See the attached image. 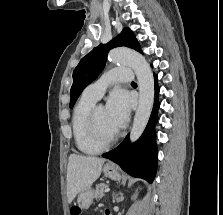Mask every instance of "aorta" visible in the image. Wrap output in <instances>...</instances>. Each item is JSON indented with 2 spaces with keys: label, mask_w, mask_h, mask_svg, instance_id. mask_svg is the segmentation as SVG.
<instances>
[{
  "label": "aorta",
  "mask_w": 223,
  "mask_h": 215,
  "mask_svg": "<svg viewBox=\"0 0 223 215\" xmlns=\"http://www.w3.org/2000/svg\"><path fill=\"white\" fill-rule=\"evenodd\" d=\"M109 62L112 64H123L132 68L137 76L139 86V104L133 119L130 131L131 141H136L143 133L154 102V78L149 64L144 56L128 50V48H115L108 54Z\"/></svg>",
  "instance_id": "762f6f07"
}]
</instances>
